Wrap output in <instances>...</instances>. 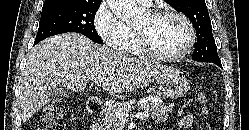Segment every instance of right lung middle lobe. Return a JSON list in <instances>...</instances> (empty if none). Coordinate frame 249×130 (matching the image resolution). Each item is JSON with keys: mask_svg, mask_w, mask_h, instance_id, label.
<instances>
[{"mask_svg": "<svg viewBox=\"0 0 249 130\" xmlns=\"http://www.w3.org/2000/svg\"><path fill=\"white\" fill-rule=\"evenodd\" d=\"M101 2H81L60 0L44 4L35 44L41 40L66 32H77L92 41L102 44L103 41L94 26L95 14Z\"/></svg>", "mask_w": 249, "mask_h": 130, "instance_id": "dd1d6c3e", "label": "right lung middle lobe"}]
</instances>
